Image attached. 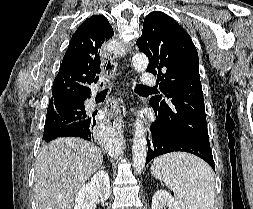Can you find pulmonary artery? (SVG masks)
<instances>
[{"mask_svg":"<svg viewBox=\"0 0 253 209\" xmlns=\"http://www.w3.org/2000/svg\"><path fill=\"white\" fill-rule=\"evenodd\" d=\"M142 80L144 85L147 87H155L157 83L156 78L148 73L143 74Z\"/></svg>","mask_w":253,"mask_h":209,"instance_id":"1","label":"pulmonary artery"}]
</instances>
